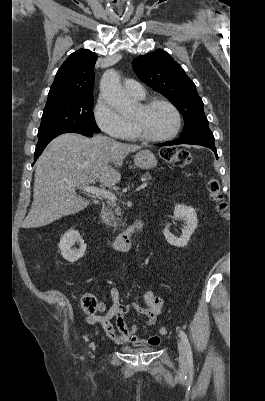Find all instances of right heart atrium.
I'll list each match as a JSON object with an SVG mask.
<instances>
[{
  "mask_svg": "<svg viewBox=\"0 0 265 401\" xmlns=\"http://www.w3.org/2000/svg\"><path fill=\"white\" fill-rule=\"evenodd\" d=\"M93 116L98 127L111 137L126 136L131 129V124L102 96L94 106Z\"/></svg>",
  "mask_w": 265,
  "mask_h": 401,
  "instance_id": "right-heart-atrium-1",
  "label": "right heart atrium"
}]
</instances>
